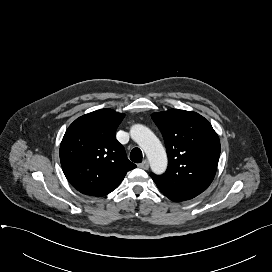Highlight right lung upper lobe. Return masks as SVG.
Masks as SVG:
<instances>
[{"mask_svg":"<svg viewBox=\"0 0 272 272\" xmlns=\"http://www.w3.org/2000/svg\"><path fill=\"white\" fill-rule=\"evenodd\" d=\"M124 114L100 109L76 119L60 145V162L71 185L91 196L115 190L126 173L136 167L127 159L115 132Z\"/></svg>","mask_w":272,"mask_h":272,"instance_id":"obj_1","label":"right lung upper lobe"}]
</instances>
